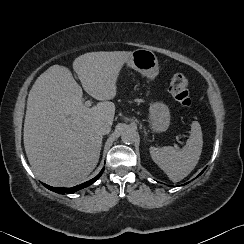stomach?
Instances as JSON below:
<instances>
[{
    "label": "stomach",
    "mask_w": 244,
    "mask_h": 244,
    "mask_svg": "<svg viewBox=\"0 0 244 244\" xmlns=\"http://www.w3.org/2000/svg\"><path fill=\"white\" fill-rule=\"evenodd\" d=\"M126 63L129 67L148 78H154L159 73L158 59L148 49L134 50ZM148 123L152 132H165L170 125L169 107L161 101H152L148 109Z\"/></svg>",
    "instance_id": "stomach-1"
}]
</instances>
